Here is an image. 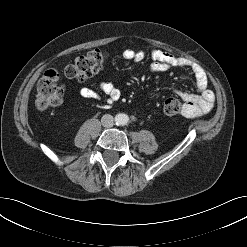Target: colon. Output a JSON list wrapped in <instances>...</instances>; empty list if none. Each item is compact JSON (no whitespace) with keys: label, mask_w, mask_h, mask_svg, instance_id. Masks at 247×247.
Wrapping results in <instances>:
<instances>
[{"label":"colon","mask_w":247,"mask_h":247,"mask_svg":"<svg viewBox=\"0 0 247 247\" xmlns=\"http://www.w3.org/2000/svg\"><path fill=\"white\" fill-rule=\"evenodd\" d=\"M106 55L102 50L95 49L78 56L65 69L68 78L84 80L97 74L103 68ZM64 87L60 83L59 74L55 70L47 71L39 80L36 92V106L46 110L59 106L63 101ZM183 104L176 98H168L163 105V112L174 116L182 112Z\"/></svg>","instance_id":"colon-1"}]
</instances>
